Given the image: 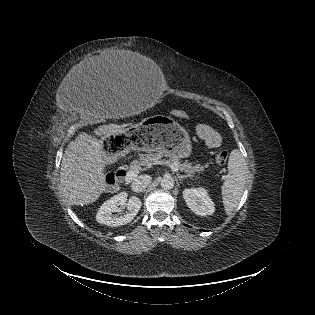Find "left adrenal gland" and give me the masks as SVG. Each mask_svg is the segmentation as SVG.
Masks as SVG:
<instances>
[{
    "mask_svg": "<svg viewBox=\"0 0 315 315\" xmlns=\"http://www.w3.org/2000/svg\"><path fill=\"white\" fill-rule=\"evenodd\" d=\"M177 177H178L179 180H182L184 178H188V177H191V176H189V175H180V174L177 173Z\"/></svg>",
    "mask_w": 315,
    "mask_h": 315,
    "instance_id": "1",
    "label": "left adrenal gland"
}]
</instances>
